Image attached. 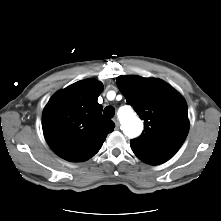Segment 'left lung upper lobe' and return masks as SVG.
I'll use <instances>...</instances> for the list:
<instances>
[{"mask_svg": "<svg viewBox=\"0 0 221 221\" xmlns=\"http://www.w3.org/2000/svg\"><path fill=\"white\" fill-rule=\"evenodd\" d=\"M117 85L144 120L142 135L131 140V149L151 165L169 160L182 146L189 131L187 104L169 84L156 78L119 76Z\"/></svg>", "mask_w": 221, "mask_h": 221, "instance_id": "1", "label": "left lung upper lobe"}]
</instances>
